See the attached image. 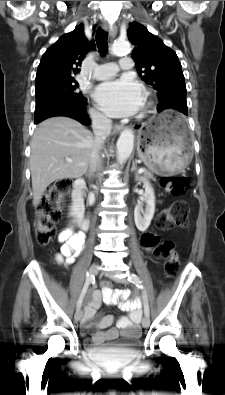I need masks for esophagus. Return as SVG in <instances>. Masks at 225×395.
Here are the masks:
<instances>
[{
  "label": "esophagus",
  "mask_w": 225,
  "mask_h": 395,
  "mask_svg": "<svg viewBox=\"0 0 225 395\" xmlns=\"http://www.w3.org/2000/svg\"><path fill=\"white\" fill-rule=\"evenodd\" d=\"M102 27L106 32L109 33L110 40L112 41L116 36V30L111 28V26L107 22H103ZM123 128V125L116 124L114 125V132H120Z\"/></svg>",
  "instance_id": "1"
}]
</instances>
